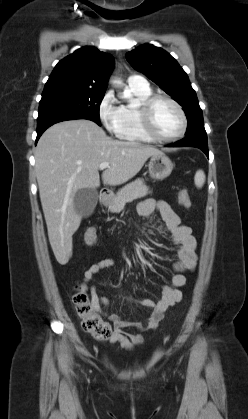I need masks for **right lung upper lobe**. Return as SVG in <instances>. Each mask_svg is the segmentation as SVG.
Masks as SVG:
<instances>
[{
    "mask_svg": "<svg viewBox=\"0 0 248 419\" xmlns=\"http://www.w3.org/2000/svg\"><path fill=\"white\" fill-rule=\"evenodd\" d=\"M113 65L112 55L92 46L82 47L59 61L45 88L70 87L105 92Z\"/></svg>",
    "mask_w": 248,
    "mask_h": 419,
    "instance_id": "right-lung-upper-lobe-1",
    "label": "right lung upper lobe"
}]
</instances>
